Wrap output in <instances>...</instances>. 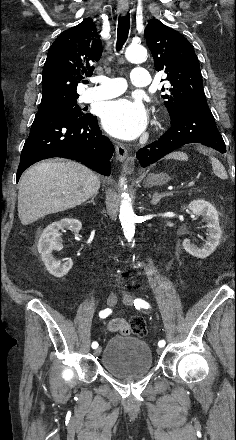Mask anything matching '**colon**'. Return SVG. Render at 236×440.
Instances as JSON below:
<instances>
[{
  "label": "colon",
  "instance_id": "obj_1",
  "mask_svg": "<svg viewBox=\"0 0 236 440\" xmlns=\"http://www.w3.org/2000/svg\"><path fill=\"white\" fill-rule=\"evenodd\" d=\"M129 334L144 336L147 332L145 321L141 317H134L130 322Z\"/></svg>",
  "mask_w": 236,
  "mask_h": 440
}]
</instances>
